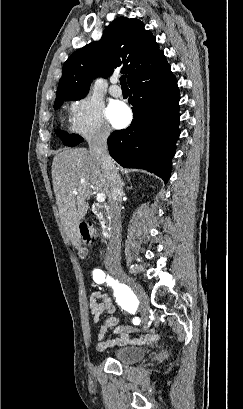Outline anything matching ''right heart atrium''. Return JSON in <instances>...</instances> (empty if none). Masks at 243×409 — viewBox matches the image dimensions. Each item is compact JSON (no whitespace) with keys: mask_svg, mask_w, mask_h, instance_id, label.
I'll return each instance as SVG.
<instances>
[{"mask_svg":"<svg viewBox=\"0 0 243 409\" xmlns=\"http://www.w3.org/2000/svg\"><path fill=\"white\" fill-rule=\"evenodd\" d=\"M69 122L73 133L88 140H105L111 133L101 104L90 95H81L71 101Z\"/></svg>","mask_w":243,"mask_h":409,"instance_id":"d8ad5b80","label":"right heart atrium"}]
</instances>
